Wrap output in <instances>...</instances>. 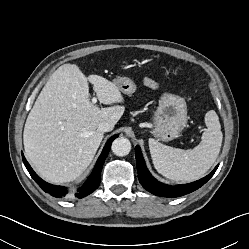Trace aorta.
<instances>
[{
	"instance_id": "762f6f07",
	"label": "aorta",
	"mask_w": 249,
	"mask_h": 249,
	"mask_svg": "<svg viewBox=\"0 0 249 249\" xmlns=\"http://www.w3.org/2000/svg\"><path fill=\"white\" fill-rule=\"evenodd\" d=\"M111 149L116 156L123 157L130 153L131 143L127 138L119 137L113 141Z\"/></svg>"
}]
</instances>
